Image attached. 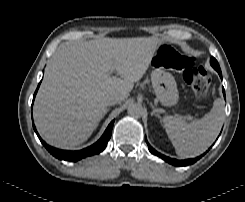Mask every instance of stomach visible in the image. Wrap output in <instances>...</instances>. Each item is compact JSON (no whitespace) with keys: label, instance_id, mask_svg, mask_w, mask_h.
Segmentation results:
<instances>
[{"label":"stomach","instance_id":"1","mask_svg":"<svg viewBox=\"0 0 245 202\" xmlns=\"http://www.w3.org/2000/svg\"><path fill=\"white\" fill-rule=\"evenodd\" d=\"M161 47V45L158 46L150 61L153 66L151 81L154 93L160 103L165 107H171L178 102L179 95L173 75L164 66L163 54L160 52Z\"/></svg>","mask_w":245,"mask_h":202}]
</instances>
